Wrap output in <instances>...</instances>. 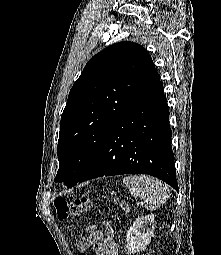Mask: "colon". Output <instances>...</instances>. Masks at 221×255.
<instances>
[{"mask_svg": "<svg viewBox=\"0 0 221 255\" xmlns=\"http://www.w3.org/2000/svg\"><path fill=\"white\" fill-rule=\"evenodd\" d=\"M92 204V200L88 197L76 198L71 202L62 197H57L54 200L56 214L61 221L66 220L69 216H77L88 211ZM83 255H88V253H83Z\"/></svg>", "mask_w": 221, "mask_h": 255, "instance_id": "1", "label": "colon"}]
</instances>
